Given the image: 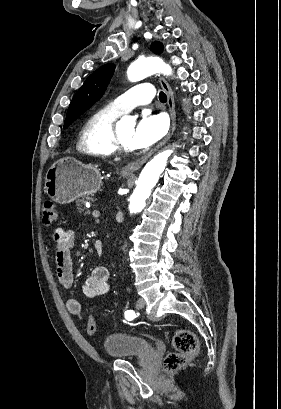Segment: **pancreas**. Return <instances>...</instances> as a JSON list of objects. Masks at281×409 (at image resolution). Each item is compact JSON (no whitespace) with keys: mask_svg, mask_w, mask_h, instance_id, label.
I'll list each match as a JSON object with an SVG mask.
<instances>
[{"mask_svg":"<svg viewBox=\"0 0 281 409\" xmlns=\"http://www.w3.org/2000/svg\"><path fill=\"white\" fill-rule=\"evenodd\" d=\"M87 200H90V198H87ZM87 200H85V198H82V200H77L78 205H80V202H81V205H82V202H87Z\"/></svg>","mask_w":281,"mask_h":409,"instance_id":"1","label":"pancreas"}]
</instances>
